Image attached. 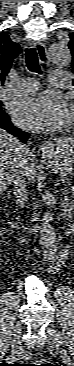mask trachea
Wrapping results in <instances>:
<instances>
[{
  "label": "trachea",
  "instance_id": "1",
  "mask_svg": "<svg viewBox=\"0 0 74 366\" xmlns=\"http://www.w3.org/2000/svg\"><path fill=\"white\" fill-rule=\"evenodd\" d=\"M25 62L30 72L41 74V68L38 61V55L35 48L25 49Z\"/></svg>",
  "mask_w": 74,
  "mask_h": 366
}]
</instances>
